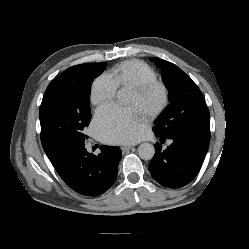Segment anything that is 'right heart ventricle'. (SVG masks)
Returning <instances> with one entry per match:
<instances>
[{
    "mask_svg": "<svg viewBox=\"0 0 249 249\" xmlns=\"http://www.w3.org/2000/svg\"><path fill=\"white\" fill-rule=\"evenodd\" d=\"M108 75L122 88H132L145 81L157 79L156 72L139 60L124 61L115 66Z\"/></svg>",
    "mask_w": 249,
    "mask_h": 249,
    "instance_id": "1",
    "label": "right heart ventricle"
}]
</instances>
